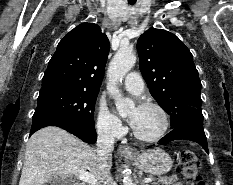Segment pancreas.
Returning a JSON list of instances; mask_svg holds the SVG:
<instances>
[{"label": "pancreas", "mask_w": 233, "mask_h": 185, "mask_svg": "<svg viewBox=\"0 0 233 185\" xmlns=\"http://www.w3.org/2000/svg\"><path fill=\"white\" fill-rule=\"evenodd\" d=\"M157 182L153 183V185H175V183L178 181V178L176 175L172 176H164L157 178Z\"/></svg>", "instance_id": "cf45deb5"}]
</instances>
